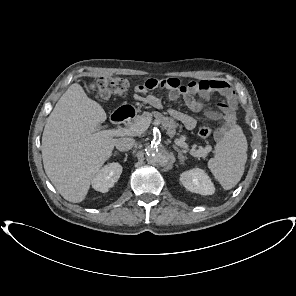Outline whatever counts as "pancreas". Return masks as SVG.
I'll use <instances>...</instances> for the list:
<instances>
[{
    "mask_svg": "<svg viewBox=\"0 0 296 296\" xmlns=\"http://www.w3.org/2000/svg\"><path fill=\"white\" fill-rule=\"evenodd\" d=\"M142 119H150V120L154 119L155 124L161 125V128L163 130H166V132L169 136H174L176 134L175 129L178 127V124L172 118L166 117L156 111H154L152 113L144 112L142 115L136 116V118L133 121L128 122V126H130V127L135 126ZM191 152H200V156H198V157H203L207 154V152H205L204 149L199 148L198 150H195V147H193L191 149Z\"/></svg>",
    "mask_w": 296,
    "mask_h": 296,
    "instance_id": "1",
    "label": "pancreas"
}]
</instances>
